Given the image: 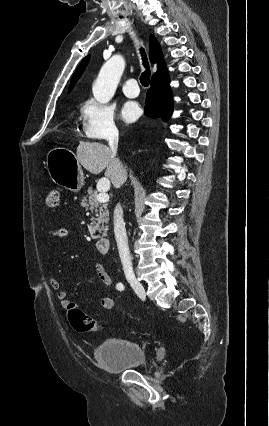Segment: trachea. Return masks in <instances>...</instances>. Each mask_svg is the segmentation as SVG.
I'll use <instances>...</instances> for the list:
<instances>
[{"label": "trachea", "mask_w": 269, "mask_h": 426, "mask_svg": "<svg viewBox=\"0 0 269 426\" xmlns=\"http://www.w3.org/2000/svg\"><path fill=\"white\" fill-rule=\"evenodd\" d=\"M141 55H142L145 71L140 76V82L143 86L147 87L149 86L151 71L149 69V65H148V61H147V57H146V53L144 52V49H141Z\"/></svg>", "instance_id": "1"}]
</instances>
